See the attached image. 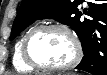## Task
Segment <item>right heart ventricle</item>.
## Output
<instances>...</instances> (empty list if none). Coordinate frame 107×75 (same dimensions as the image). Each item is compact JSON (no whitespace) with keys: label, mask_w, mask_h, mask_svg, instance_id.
I'll list each match as a JSON object with an SVG mask.
<instances>
[{"label":"right heart ventricle","mask_w":107,"mask_h":75,"mask_svg":"<svg viewBox=\"0 0 107 75\" xmlns=\"http://www.w3.org/2000/svg\"><path fill=\"white\" fill-rule=\"evenodd\" d=\"M29 32V31H28ZM26 32L25 34H23L19 40L16 42L15 44V48H14V54H13V65L15 67V69L17 71H20V72H31L34 70L33 67L29 66L24 60H23V57H22V43H23V40L26 36V34L28 33Z\"/></svg>","instance_id":"1"}]
</instances>
